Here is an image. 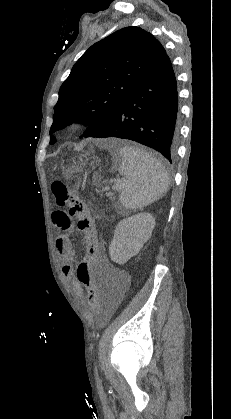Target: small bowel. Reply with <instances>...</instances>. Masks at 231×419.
Instances as JSON below:
<instances>
[{
  "label": "small bowel",
  "mask_w": 231,
  "mask_h": 419,
  "mask_svg": "<svg viewBox=\"0 0 231 419\" xmlns=\"http://www.w3.org/2000/svg\"><path fill=\"white\" fill-rule=\"evenodd\" d=\"M53 222L57 232H71L73 230L72 215L64 211H56L53 213ZM61 234L56 238L55 248L62 262V274L68 283H72V288L76 296L85 301L84 290L80 285V281L75 279L73 262L75 261L72 242L69 234ZM108 261L104 252L100 251V256L96 262L92 264V268L97 270L107 267ZM125 284L119 277H113L103 284L101 293L104 301V315L111 316L123 301Z\"/></svg>",
  "instance_id": "1"
}]
</instances>
